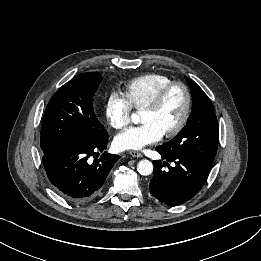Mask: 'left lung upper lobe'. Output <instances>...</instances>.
Returning a JSON list of instances; mask_svg holds the SVG:
<instances>
[{"label":"left lung upper lobe","instance_id":"left-lung-upper-lobe-1","mask_svg":"<svg viewBox=\"0 0 261 261\" xmlns=\"http://www.w3.org/2000/svg\"><path fill=\"white\" fill-rule=\"evenodd\" d=\"M193 105L186 126L169 142L158 146L167 154H184L192 161L211 168L217 152L219 127L209 97L191 79L186 77Z\"/></svg>","mask_w":261,"mask_h":261}]
</instances>
